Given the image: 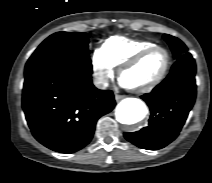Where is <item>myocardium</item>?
I'll return each mask as SVG.
<instances>
[{
	"instance_id": "f54148a6",
	"label": "myocardium",
	"mask_w": 212,
	"mask_h": 183,
	"mask_svg": "<svg viewBox=\"0 0 212 183\" xmlns=\"http://www.w3.org/2000/svg\"><path fill=\"white\" fill-rule=\"evenodd\" d=\"M159 49L163 50L166 54V62H165L164 68L160 72V74L154 80H152L151 82H149L148 84H146L144 86H141V87L127 86L126 88L128 90H130L134 93H137V94L148 93V92L152 91L154 88H156L163 81V79L166 77V75L171 67L172 57H171V53L167 47H165L163 45H157V44L149 46L145 49H142L141 51H139L138 53L133 55L130 59H128L126 62H124L120 66V69H119V78H120V80H122V77L127 70L136 66L143 58H145L152 51L159 50Z\"/></svg>"
}]
</instances>
